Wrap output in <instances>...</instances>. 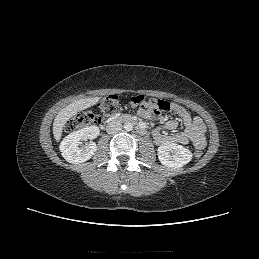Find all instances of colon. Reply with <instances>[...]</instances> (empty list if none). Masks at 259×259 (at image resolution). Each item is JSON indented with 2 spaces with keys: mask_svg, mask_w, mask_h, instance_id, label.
I'll return each instance as SVG.
<instances>
[{
  "mask_svg": "<svg viewBox=\"0 0 259 259\" xmlns=\"http://www.w3.org/2000/svg\"><path fill=\"white\" fill-rule=\"evenodd\" d=\"M130 103L133 106H138L140 109H144L154 114H157L161 111L174 110L177 107L175 103L163 99L146 100L145 97L142 95L132 96L130 99ZM118 106L119 100L116 95L105 97L98 103L100 114H96L90 111L78 113L66 123L65 131L73 132L84 127L99 125L104 119L113 117L118 110ZM202 155L203 152L201 150H196L194 152V157L196 159L201 158Z\"/></svg>",
  "mask_w": 259,
  "mask_h": 259,
  "instance_id": "obj_1",
  "label": "colon"
}]
</instances>
